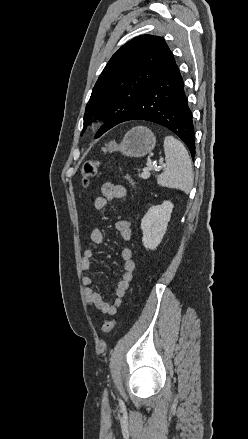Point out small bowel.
Here are the masks:
<instances>
[{
  "mask_svg": "<svg viewBox=\"0 0 248 439\" xmlns=\"http://www.w3.org/2000/svg\"><path fill=\"white\" fill-rule=\"evenodd\" d=\"M127 196V189L122 185H114L106 182L101 186V195L94 199V208L98 211L103 210L109 202L115 199H125ZM115 228L120 237L124 241L131 239L132 230L131 223L128 220L121 219L115 223ZM90 240L93 244H101L104 240L103 232L100 228H94L90 233ZM94 255L92 248L84 250L80 261L82 271L87 272L91 268V260ZM121 259L123 260V272L120 280L115 287L114 298L111 302L103 300L100 293L93 288V277L86 274L82 277L84 285V295L88 306L94 307L101 313L106 315H114L117 313L119 307L123 303V298L129 288L130 282L135 270V262L132 259V251L130 248H123L121 251Z\"/></svg>",
  "mask_w": 248,
  "mask_h": 439,
  "instance_id": "obj_1",
  "label": "small bowel"
}]
</instances>
